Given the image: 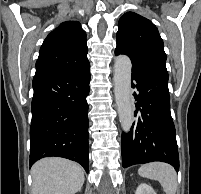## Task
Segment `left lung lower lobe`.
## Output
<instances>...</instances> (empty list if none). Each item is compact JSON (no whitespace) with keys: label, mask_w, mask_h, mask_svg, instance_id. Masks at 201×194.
I'll use <instances>...</instances> for the list:
<instances>
[{"label":"left lung lower lobe","mask_w":201,"mask_h":194,"mask_svg":"<svg viewBox=\"0 0 201 194\" xmlns=\"http://www.w3.org/2000/svg\"><path fill=\"white\" fill-rule=\"evenodd\" d=\"M116 55H119L115 51ZM137 121L122 134V166L162 161L179 169L175 127L170 113L168 74L153 67L133 66Z\"/></svg>","instance_id":"left-lung-lower-lobe-1"}]
</instances>
